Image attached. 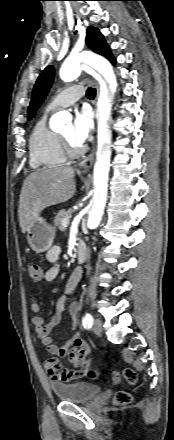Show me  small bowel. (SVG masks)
I'll use <instances>...</instances> for the list:
<instances>
[{
  "label": "small bowel",
  "instance_id": "1",
  "mask_svg": "<svg viewBox=\"0 0 174 440\" xmlns=\"http://www.w3.org/2000/svg\"><path fill=\"white\" fill-rule=\"evenodd\" d=\"M60 254L61 247L59 245H54L48 250L46 259L50 265L44 272L45 281L52 282L58 277L60 272L58 264ZM81 276L82 271L80 268L75 269L71 273L66 283L65 294L56 301L55 313L49 323L46 324L44 318L40 315L32 318L35 332L40 342L46 346L47 352L58 357H67L73 366V369H64L58 358L48 359L45 363L46 371L50 379L56 382L71 383L82 376L86 363L92 353L88 343L79 333L74 334L61 345L53 343L50 335L51 331L60 323L61 315L66 310V302L75 294ZM30 306L34 313L41 311V305L36 296H32ZM69 313L71 316L69 324L74 326L79 313L77 301L74 300L70 303Z\"/></svg>",
  "mask_w": 174,
  "mask_h": 440
}]
</instances>
